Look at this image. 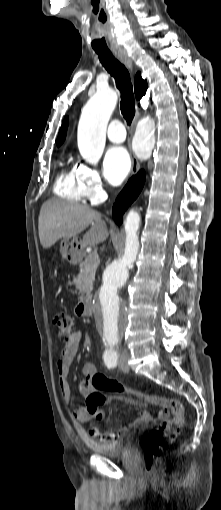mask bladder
Wrapping results in <instances>:
<instances>
[{"mask_svg":"<svg viewBox=\"0 0 221 510\" xmlns=\"http://www.w3.org/2000/svg\"><path fill=\"white\" fill-rule=\"evenodd\" d=\"M135 441V433H126L112 441L88 442L87 447L107 458H118L128 455L133 450Z\"/></svg>","mask_w":221,"mask_h":510,"instance_id":"31cf9c89","label":"bladder"}]
</instances>
